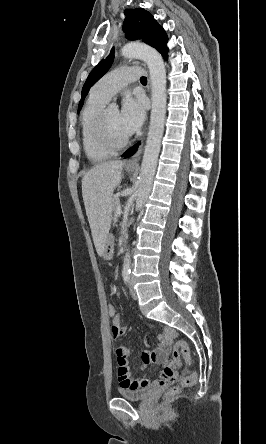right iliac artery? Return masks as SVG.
<instances>
[{
    "mask_svg": "<svg viewBox=\"0 0 266 444\" xmlns=\"http://www.w3.org/2000/svg\"><path fill=\"white\" fill-rule=\"evenodd\" d=\"M123 279H124V282L126 284H128L130 282V274L129 273H124L123 274Z\"/></svg>",
    "mask_w": 266,
    "mask_h": 444,
    "instance_id": "1",
    "label": "right iliac artery"
}]
</instances>
